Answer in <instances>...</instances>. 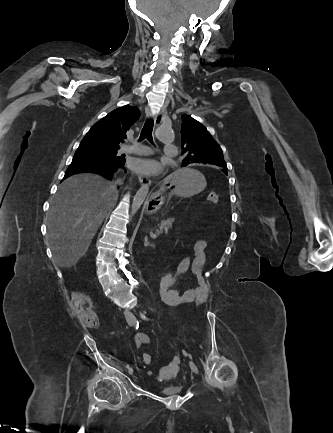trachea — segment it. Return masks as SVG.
Wrapping results in <instances>:
<instances>
[{
  "label": "trachea",
  "instance_id": "trachea-1",
  "mask_svg": "<svg viewBox=\"0 0 333 433\" xmlns=\"http://www.w3.org/2000/svg\"><path fill=\"white\" fill-rule=\"evenodd\" d=\"M153 126H154V121L152 119H147L141 131V135L139 139L140 141L147 138L150 143H153V138H152Z\"/></svg>",
  "mask_w": 333,
  "mask_h": 433
}]
</instances>
